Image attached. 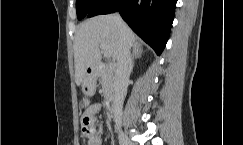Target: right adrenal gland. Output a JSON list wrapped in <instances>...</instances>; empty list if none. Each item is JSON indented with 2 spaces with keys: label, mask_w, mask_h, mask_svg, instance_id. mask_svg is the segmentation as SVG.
<instances>
[{
  "label": "right adrenal gland",
  "mask_w": 243,
  "mask_h": 145,
  "mask_svg": "<svg viewBox=\"0 0 243 145\" xmlns=\"http://www.w3.org/2000/svg\"><path fill=\"white\" fill-rule=\"evenodd\" d=\"M143 49L139 45H135L133 47V53H132V63L134 65L135 59H139L142 57Z\"/></svg>",
  "instance_id": "1"
}]
</instances>
